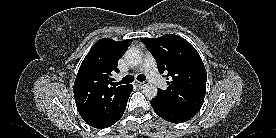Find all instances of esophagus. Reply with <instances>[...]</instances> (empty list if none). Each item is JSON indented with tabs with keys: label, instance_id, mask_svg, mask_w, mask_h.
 Here are the masks:
<instances>
[{
	"label": "esophagus",
	"instance_id": "1",
	"mask_svg": "<svg viewBox=\"0 0 276 138\" xmlns=\"http://www.w3.org/2000/svg\"><path fill=\"white\" fill-rule=\"evenodd\" d=\"M147 84H148L147 82H138V81H136V85H138L139 87H144Z\"/></svg>",
	"mask_w": 276,
	"mask_h": 138
}]
</instances>
